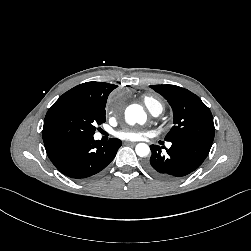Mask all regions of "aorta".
<instances>
[{"label":"aorta","instance_id":"obj_1","mask_svg":"<svg viewBox=\"0 0 251 251\" xmlns=\"http://www.w3.org/2000/svg\"><path fill=\"white\" fill-rule=\"evenodd\" d=\"M146 119L147 116L145 111L142 106L138 104L129 105L125 110V120L130 125H134L136 123L144 124ZM135 151L138 156L146 157L150 152V148L145 143H139L136 145Z\"/></svg>","mask_w":251,"mask_h":251}]
</instances>
